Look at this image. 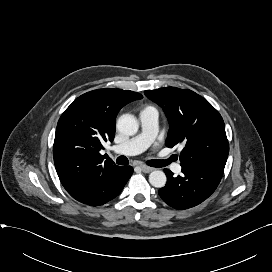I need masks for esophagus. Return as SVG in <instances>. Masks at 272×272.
Returning <instances> with one entry per match:
<instances>
[{"mask_svg":"<svg viewBox=\"0 0 272 272\" xmlns=\"http://www.w3.org/2000/svg\"><path fill=\"white\" fill-rule=\"evenodd\" d=\"M140 169L144 172V173H150L154 170V168L152 167H148L146 165H140Z\"/></svg>","mask_w":272,"mask_h":272,"instance_id":"obj_1","label":"esophagus"}]
</instances>
